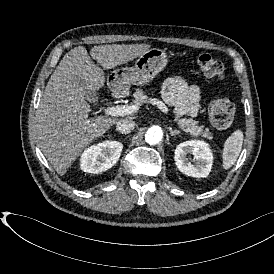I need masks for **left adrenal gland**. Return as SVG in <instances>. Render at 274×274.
<instances>
[{
	"label": "left adrenal gland",
	"mask_w": 274,
	"mask_h": 274,
	"mask_svg": "<svg viewBox=\"0 0 274 274\" xmlns=\"http://www.w3.org/2000/svg\"><path fill=\"white\" fill-rule=\"evenodd\" d=\"M180 133H181L180 131L173 130L172 128H169L170 136H174V135H177V134H180Z\"/></svg>",
	"instance_id": "1"
}]
</instances>
